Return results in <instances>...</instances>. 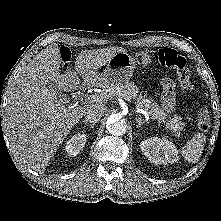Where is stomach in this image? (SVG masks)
Listing matches in <instances>:
<instances>
[{
    "label": "stomach",
    "mask_w": 221,
    "mask_h": 221,
    "mask_svg": "<svg viewBox=\"0 0 221 221\" xmlns=\"http://www.w3.org/2000/svg\"><path fill=\"white\" fill-rule=\"evenodd\" d=\"M143 65L151 61L148 52L140 53ZM136 67V59L127 52L116 53L106 64L105 70L99 74L102 85L122 84L130 80Z\"/></svg>",
    "instance_id": "stomach-1"
}]
</instances>
